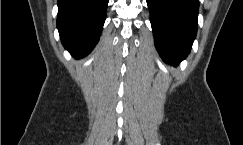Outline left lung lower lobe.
<instances>
[{"label": "left lung lower lobe", "instance_id": "left-lung-lower-lobe-1", "mask_svg": "<svg viewBox=\"0 0 243 145\" xmlns=\"http://www.w3.org/2000/svg\"><path fill=\"white\" fill-rule=\"evenodd\" d=\"M155 46L169 64L189 54L197 32L199 0H147Z\"/></svg>", "mask_w": 243, "mask_h": 145}]
</instances>
